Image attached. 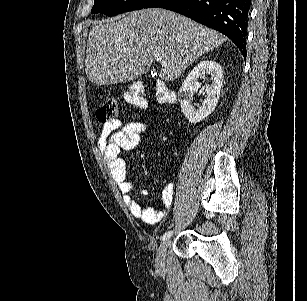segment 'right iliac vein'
<instances>
[{
    "label": "right iliac vein",
    "mask_w": 307,
    "mask_h": 301,
    "mask_svg": "<svg viewBox=\"0 0 307 301\" xmlns=\"http://www.w3.org/2000/svg\"><path fill=\"white\" fill-rule=\"evenodd\" d=\"M169 245H170V239L169 238L162 240V242L160 243L158 253L156 255V262H155L156 268H158V269L164 268L166 250H167Z\"/></svg>",
    "instance_id": "obj_1"
}]
</instances>
